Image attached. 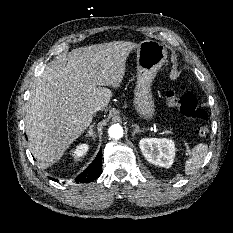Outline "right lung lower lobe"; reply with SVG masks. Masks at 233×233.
Segmentation results:
<instances>
[{"label": "right lung lower lobe", "mask_w": 233, "mask_h": 233, "mask_svg": "<svg viewBox=\"0 0 233 233\" xmlns=\"http://www.w3.org/2000/svg\"><path fill=\"white\" fill-rule=\"evenodd\" d=\"M101 173H102V161H101V152H99L95 160L92 162V164L88 168H86L80 175H78L75 181L77 183L91 182L96 178H98L101 175Z\"/></svg>", "instance_id": "right-lung-lower-lobe-1"}]
</instances>
